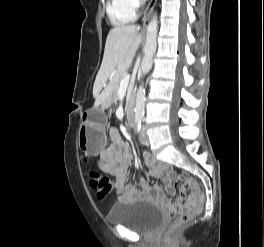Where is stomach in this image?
I'll return each instance as SVG.
<instances>
[{
	"instance_id": "obj_1",
	"label": "stomach",
	"mask_w": 264,
	"mask_h": 247,
	"mask_svg": "<svg viewBox=\"0 0 264 247\" xmlns=\"http://www.w3.org/2000/svg\"><path fill=\"white\" fill-rule=\"evenodd\" d=\"M78 143L81 150L98 154L106 143L105 115L98 112L95 117L89 115L78 132Z\"/></svg>"
}]
</instances>
